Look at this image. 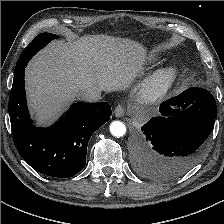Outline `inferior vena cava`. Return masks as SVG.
<instances>
[{"instance_id":"inferior-vena-cava-1","label":"inferior vena cava","mask_w":224,"mask_h":224,"mask_svg":"<svg viewBox=\"0 0 224 224\" xmlns=\"http://www.w3.org/2000/svg\"><path fill=\"white\" fill-rule=\"evenodd\" d=\"M79 97L86 102H97L101 99V91L95 88H88L81 91Z\"/></svg>"}]
</instances>
